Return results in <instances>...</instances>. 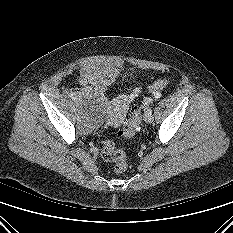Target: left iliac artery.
Listing matches in <instances>:
<instances>
[{
	"label": "left iliac artery",
	"mask_w": 233,
	"mask_h": 233,
	"mask_svg": "<svg viewBox=\"0 0 233 233\" xmlns=\"http://www.w3.org/2000/svg\"><path fill=\"white\" fill-rule=\"evenodd\" d=\"M147 112H150V113H152V109H151V108H149V109L147 110Z\"/></svg>",
	"instance_id": "left-iliac-artery-1"
}]
</instances>
